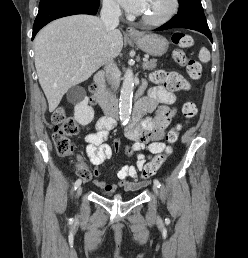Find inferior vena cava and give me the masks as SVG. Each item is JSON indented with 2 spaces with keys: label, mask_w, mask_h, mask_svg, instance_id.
Returning <instances> with one entry per match:
<instances>
[{
  "label": "inferior vena cava",
  "mask_w": 248,
  "mask_h": 258,
  "mask_svg": "<svg viewBox=\"0 0 248 258\" xmlns=\"http://www.w3.org/2000/svg\"><path fill=\"white\" fill-rule=\"evenodd\" d=\"M121 15V10L118 5L112 3L108 0L103 2V6L100 12L101 21L107 32H111L119 25V16ZM106 71V78L108 83L111 85L114 91L118 88V68L114 63L113 58H109L105 63L104 67Z\"/></svg>",
  "instance_id": "obj_1"
}]
</instances>
